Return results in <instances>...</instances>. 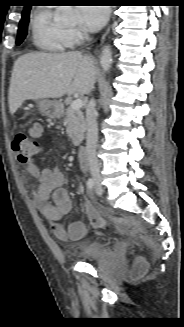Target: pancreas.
Returning <instances> with one entry per match:
<instances>
[{"instance_id":"obj_1","label":"pancreas","mask_w":184,"mask_h":327,"mask_svg":"<svg viewBox=\"0 0 184 327\" xmlns=\"http://www.w3.org/2000/svg\"><path fill=\"white\" fill-rule=\"evenodd\" d=\"M66 103L70 104L71 100L68 99ZM64 124L67 126L66 131L72 143L78 146L83 141L86 130L83 112L68 107L64 112Z\"/></svg>"}]
</instances>
